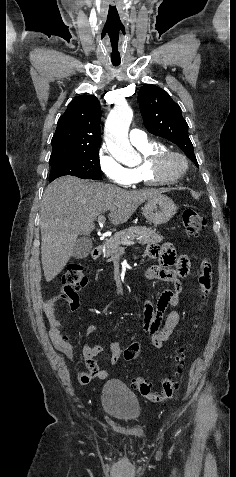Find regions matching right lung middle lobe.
Segmentation results:
<instances>
[{"instance_id":"1","label":"right lung middle lobe","mask_w":236,"mask_h":477,"mask_svg":"<svg viewBox=\"0 0 236 477\" xmlns=\"http://www.w3.org/2000/svg\"><path fill=\"white\" fill-rule=\"evenodd\" d=\"M49 181L71 175L81 179L102 180L98 148L50 161Z\"/></svg>"}]
</instances>
